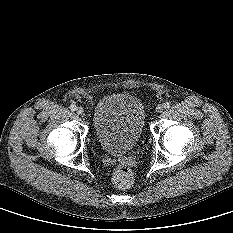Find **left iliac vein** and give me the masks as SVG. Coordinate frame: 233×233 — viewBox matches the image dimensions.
Masks as SVG:
<instances>
[{
    "label": "left iliac vein",
    "instance_id": "4c4485c4",
    "mask_svg": "<svg viewBox=\"0 0 233 233\" xmlns=\"http://www.w3.org/2000/svg\"><path fill=\"white\" fill-rule=\"evenodd\" d=\"M164 109V105L163 104H159L157 107H156V112L158 113H161Z\"/></svg>",
    "mask_w": 233,
    "mask_h": 233
}]
</instances>
